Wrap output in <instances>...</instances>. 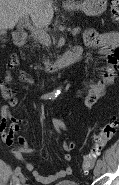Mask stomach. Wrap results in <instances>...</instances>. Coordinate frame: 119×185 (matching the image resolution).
I'll return each instance as SVG.
<instances>
[{
	"label": "stomach",
	"instance_id": "1",
	"mask_svg": "<svg viewBox=\"0 0 119 185\" xmlns=\"http://www.w3.org/2000/svg\"><path fill=\"white\" fill-rule=\"evenodd\" d=\"M107 7V0H84L81 4L74 5V9L82 10L87 16L102 14Z\"/></svg>",
	"mask_w": 119,
	"mask_h": 185
}]
</instances>
